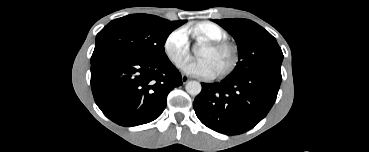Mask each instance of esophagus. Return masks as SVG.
<instances>
[{
	"label": "esophagus",
	"instance_id": "34e87169",
	"mask_svg": "<svg viewBox=\"0 0 369 152\" xmlns=\"http://www.w3.org/2000/svg\"><path fill=\"white\" fill-rule=\"evenodd\" d=\"M181 80H182V83L185 84L189 81V77L187 75H182Z\"/></svg>",
	"mask_w": 369,
	"mask_h": 152
}]
</instances>
